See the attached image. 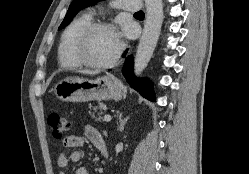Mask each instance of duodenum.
Listing matches in <instances>:
<instances>
[{
  "instance_id": "1",
  "label": "duodenum",
  "mask_w": 249,
  "mask_h": 174,
  "mask_svg": "<svg viewBox=\"0 0 249 174\" xmlns=\"http://www.w3.org/2000/svg\"><path fill=\"white\" fill-rule=\"evenodd\" d=\"M103 154H104V157H108V149L107 147H103Z\"/></svg>"
}]
</instances>
